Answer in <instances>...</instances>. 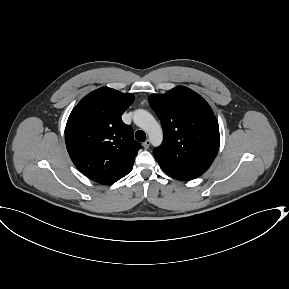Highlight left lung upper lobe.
Listing matches in <instances>:
<instances>
[{
	"label": "left lung upper lobe",
	"instance_id": "left-lung-upper-lobe-1",
	"mask_svg": "<svg viewBox=\"0 0 289 289\" xmlns=\"http://www.w3.org/2000/svg\"><path fill=\"white\" fill-rule=\"evenodd\" d=\"M148 100L163 128V143L153 152L162 170L178 180L203 174L214 161L220 142L218 121L209 104L184 86L153 94Z\"/></svg>",
	"mask_w": 289,
	"mask_h": 289
}]
</instances>
